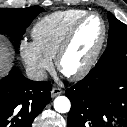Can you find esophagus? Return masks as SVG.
Instances as JSON below:
<instances>
[{"mask_svg": "<svg viewBox=\"0 0 127 127\" xmlns=\"http://www.w3.org/2000/svg\"><path fill=\"white\" fill-rule=\"evenodd\" d=\"M62 92H63L62 89H60L58 87H54L51 90V97L58 96V95L62 94Z\"/></svg>", "mask_w": 127, "mask_h": 127, "instance_id": "obj_1", "label": "esophagus"}]
</instances>
